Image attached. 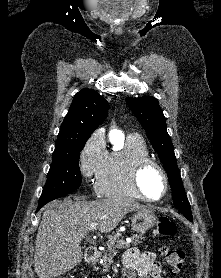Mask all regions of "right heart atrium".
I'll list each match as a JSON object with an SVG mask.
<instances>
[{"mask_svg":"<svg viewBox=\"0 0 221 278\" xmlns=\"http://www.w3.org/2000/svg\"><path fill=\"white\" fill-rule=\"evenodd\" d=\"M107 155L104 134L95 131L87 139L79 155L81 174L86 179L96 178L105 165Z\"/></svg>","mask_w":221,"mask_h":278,"instance_id":"obj_1","label":"right heart atrium"}]
</instances>
